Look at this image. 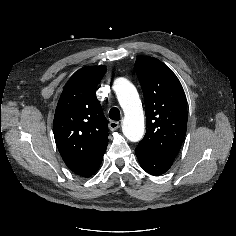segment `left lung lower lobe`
<instances>
[{"label": "left lung lower lobe", "mask_w": 236, "mask_h": 236, "mask_svg": "<svg viewBox=\"0 0 236 236\" xmlns=\"http://www.w3.org/2000/svg\"><path fill=\"white\" fill-rule=\"evenodd\" d=\"M135 153L141 167L151 175H162L172 166V162L156 157L141 148H136Z\"/></svg>", "instance_id": "left-lung-lower-lobe-1"}]
</instances>
